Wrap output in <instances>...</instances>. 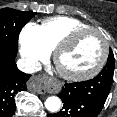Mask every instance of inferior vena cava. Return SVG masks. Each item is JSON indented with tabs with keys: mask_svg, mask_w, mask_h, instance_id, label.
I'll return each instance as SVG.
<instances>
[{
	"mask_svg": "<svg viewBox=\"0 0 117 117\" xmlns=\"http://www.w3.org/2000/svg\"><path fill=\"white\" fill-rule=\"evenodd\" d=\"M19 70L24 73L32 74L41 70L40 62L29 58H21L17 61Z\"/></svg>",
	"mask_w": 117,
	"mask_h": 117,
	"instance_id": "1",
	"label": "inferior vena cava"
}]
</instances>
